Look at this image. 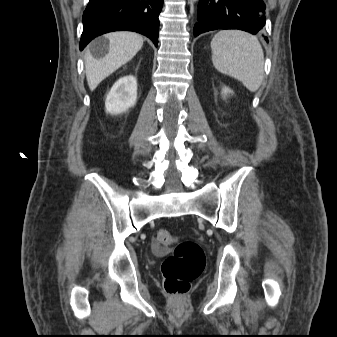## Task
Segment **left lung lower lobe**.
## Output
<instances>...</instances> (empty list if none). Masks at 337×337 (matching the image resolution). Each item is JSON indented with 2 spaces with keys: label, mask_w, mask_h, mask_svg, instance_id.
<instances>
[{
  "label": "left lung lower lobe",
  "mask_w": 337,
  "mask_h": 337,
  "mask_svg": "<svg viewBox=\"0 0 337 337\" xmlns=\"http://www.w3.org/2000/svg\"><path fill=\"white\" fill-rule=\"evenodd\" d=\"M265 8L263 0H200L194 36L215 29L256 34L265 25Z\"/></svg>",
  "instance_id": "left-lung-lower-lobe-1"
}]
</instances>
